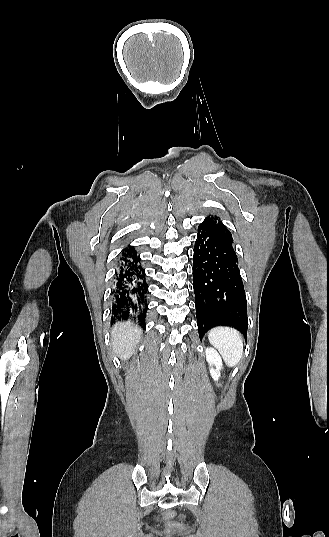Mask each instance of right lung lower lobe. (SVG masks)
<instances>
[{"instance_id":"obj_1","label":"right lung lower lobe","mask_w":329,"mask_h":537,"mask_svg":"<svg viewBox=\"0 0 329 537\" xmlns=\"http://www.w3.org/2000/svg\"><path fill=\"white\" fill-rule=\"evenodd\" d=\"M147 287L145 271L136 250L133 247L125 249L121 253L115 277L111 320L143 319L146 313Z\"/></svg>"}]
</instances>
